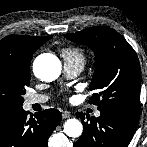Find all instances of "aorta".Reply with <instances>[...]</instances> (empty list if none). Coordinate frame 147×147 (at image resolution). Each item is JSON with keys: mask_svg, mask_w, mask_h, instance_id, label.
<instances>
[{"mask_svg": "<svg viewBox=\"0 0 147 147\" xmlns=\"http://www.w3.org/2000/svg\"><path fill=\"white\" fill-rule=\"evenodd\" d=\"M61 69L60 60L50 53L39 55L33 62V72L42 81H54L61 74ZM64 132L71 138H77L83 132L82 123L75 118L68 119L64 124Z\"/></svg>", "mask_w": 147, "mask_h": 147, "instance_id": "obj_1", "label": "aorta"}]
</instances>
